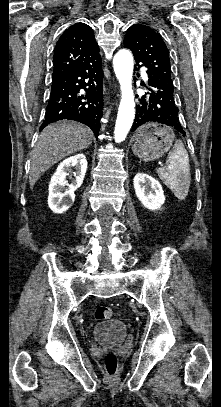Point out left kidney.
Returning <instances> with one entry per match:
<instances>
[{
    "instance_id": "obj_1",
    "label": "left kidney",
    "mask_w": 221,
    "mask_h": 407,
    "mask_svg": "<svg viewBox=\"0 0 221 407\" xmlns=\"http://www.w3.org/2000/svg\"><path fill=\"white\" fill-rule=\"evenodd\" d=\"M135 193L143 206L149 210H158L165 202L161 184L145 173H138L133 179Z\"/></svg>"
}]
</instances>
